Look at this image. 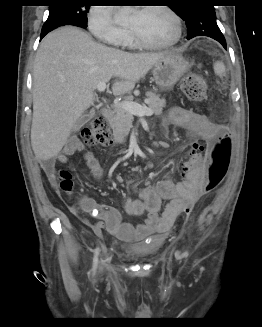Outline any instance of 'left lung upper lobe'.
Returning <instances> with one entry per match:
<instances>
[{
    "instance_id": "1",
    "label": "left lung upper lobe",
    "mask_w": 262,
    "mask_h": 327,
    "mask_svg": "<svg viewBox=\"0 0 262 327\" xmlns=\"http://www.w3.org/2000/svg\"><path fill=\"white\" fill-rule=\"evenodd\" d=\"M171 9L176 12L187 25V36L199 30L201 32L218 28L214 7L207 0H190L189 4L180 6L172 1Z\"/></svg>"
}]
</instances>
